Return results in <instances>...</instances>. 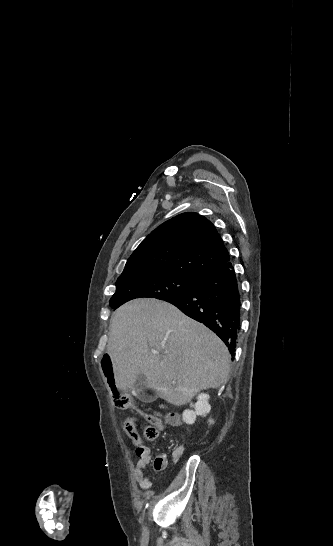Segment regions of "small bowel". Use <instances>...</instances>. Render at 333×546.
<instances>
[{"label": "small bowel", "mask_w": 333, "mask_h": 546, "mask_svg": "<svg viewBox=\"0 0 333 546\" xmlns=\"http://www.w3.org/2000/svg\"><path fill=\"white\" fill-rule=\"evenodd\" d=\"M148 419L154 423L159 429L165 430V425L158 416L148 415ZM168 422L176 423L175 417L171 416L167 418ZM135 446V452L137 455V462L134 466V471L136 475L137 482L139 486L146 490L151 486V481L149 476L146 474V468L151 464V450L143 442L137 431L134 436H129ZM185 451L184 446H178L173 452V459L175 461L179 460ZM168 464L167 456L164 453L159 454L153 461L154 470L160 471L164 469Z\"/></svg>", "instance_id": "obj_1"}]
</instances>
